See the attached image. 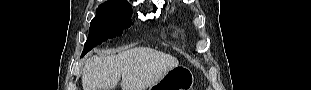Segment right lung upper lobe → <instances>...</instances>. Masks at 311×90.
<instances>
[{"instance_id":"right-lung-upper-lobe-1","label":"right lung upper lobe","mask_w":311,"mask_h":90,"mask_svg":"<svg viewBox=\"0 0 311 90\" xmlns=\"http://www.w3.org/2000/svg\"><path fill=\"white\" fill-rule=\"evenodd\" d=\"M108 2L129 4V3L127 2V0H109V1H107L106 3H108Z\"/></svg>"}]
</instances>
